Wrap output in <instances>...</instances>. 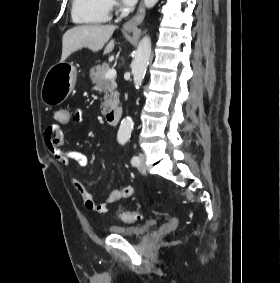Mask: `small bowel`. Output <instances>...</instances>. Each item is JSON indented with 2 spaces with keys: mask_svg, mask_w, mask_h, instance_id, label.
<instances>
[{
  "mask_svg": "<svg viewBox=\"0 0 280 283\" xmlns=\"http://www.w3.org/2000/svg\"><path fill=\"white\" fill-rule=\"evenodd\" d=\"M69 114H73L72 120L76 124L83 123L84 116L80 110H69ZM44 142L48 151L53 155L56 161L65 167H70L72 165L85 167L89 162L87 156L79 151L62 149L64 132L61 125H57V123L46 129ZM73 186L81 197L84 207L88 211L97 214L107 213L111 204L131 197L134 192L133 187L128 185L122 189L111 191L102 203H96L92 194L86 189L78 177L73 179Z\"/></svg>",
  "mask_w": 280,
  "mask_h": 283,
  "instance_id": "c3829d8e",
  "label": "small bowel"
}]
</instances>
